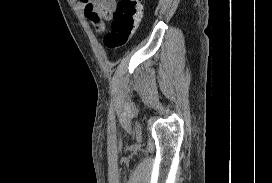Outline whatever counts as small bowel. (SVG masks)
<instances>
[{
    "instance_id": "c3829d8e",
    "label": "small bowel",
    "mask_w": 272,
    "mask_h": 183,
    "mask_svg": "<svg viewBox=\"0 0 272 183\" xmlns=\"http://www.w3.org/2000/svg\"><path fill=\"white\" fill-rule=\"evenodd\" d=\"M83 7L86 18L99 29H104V21L112 19L116 1L115 0H79Z\"/></svg>"
}]
</instances>
